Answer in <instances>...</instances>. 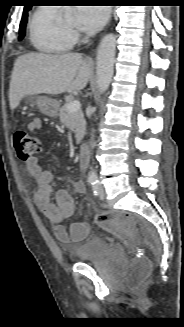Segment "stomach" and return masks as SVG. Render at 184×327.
I'll use <instances>...</instances> for the list:
<instances>
[{"mask_svg": "<svg viewBox=\"0 0 184 327\" xmlns=\"http://www.w3.org/2000/svg\"><path fill=\"white\" fill-rule=\"evenodd\" d=\"M28 99L31 100V98ZM35 103L42 114L52 118L58 116L59 102L57 100L46 96H38L35 98Z\"/></svg>", "mask_w": 184, "mask_h": 327, "instance_id": "obj_1", "label": "stomach"}]
</instances>
